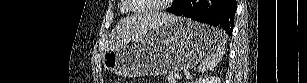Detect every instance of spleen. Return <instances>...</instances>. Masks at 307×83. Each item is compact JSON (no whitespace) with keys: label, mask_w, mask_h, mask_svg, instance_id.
I'll return each instance as SVG.
<instances>
[{"label":"spleen","mask_w":307,"mask_h":83,"mask_svg":"<svg viewBox=\"0 0 307 83\" xmlns=\"http://www.w3.org/2000/svg\"><path fill=\"white\" fill-rule=\"evenodd\" d=\"M214 31V46L210 48L206 57L201 61L197 70L198 72H206L213 70L218 63L222 60L225 45L224 41L226 39V34L223 31L212 28Z\"/></svg>","instance_id":"3e777b00"}]
</instances>
